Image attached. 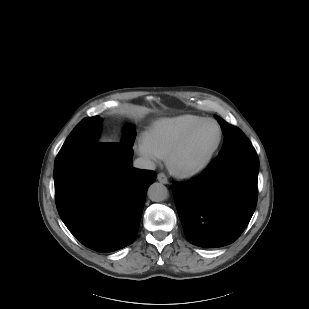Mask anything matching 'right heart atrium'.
Masks as SVG:
<instances>
[{
    "instance_id": "right-heart-atrium-1",
    "label": "right heart atrium",
    "mask_w": 309,
    "mask_h": 309,
    "mask_svg": "<svg viewBox=\"0 0 309 309\" xmlns=\"http://www.w3.org/2000/svg\"><path fill=\"white\" fill-rule=\"evenodd\" d=\"M137 151L138 153L144 157L145 159L154 161L156 160L158 157L152 152V150L149 148V146L147 145V143L142 140L138 143L137 146Z\"/></svg>"
}]
</instances>
